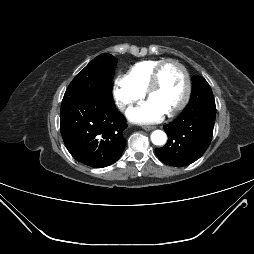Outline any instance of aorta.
I'll return each instance as SVG.
<instances>
[{"label": "aorta", "mask_w": 254, "mask_h": 254, "mask_svg": "<svg viewBox=\"0 0 254 254\" xmlns=\"http://www.w3.org/2000/svg\"><path fill=\"white\" fill-rule=\"evenodd\" d=\"M151 141L154 145H164L167 141V136L164 131L161 130H155L151 134Z\"/></svg>", "instance_id": "obj_1"}]
</instances>
